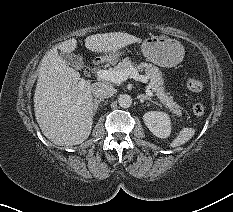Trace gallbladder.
<instances>
[{
	"label": "gallbladder",
	"instance_id": "bac80fb5",
	"mask_svg": "<svg viewBox=\"0 0 233 212\" xmlns=\"http://www.w3.org/2000/svg\"><path fill=\"white\" fill-rule=\"evenodd\" d=\"M61 57L67 64L75 67L76 69L84 67L83 59L79 55H76L74 53H62Z\"/></svg>",
	"mask_w": 233,
	"mask_h": 212
}]
</instances>
